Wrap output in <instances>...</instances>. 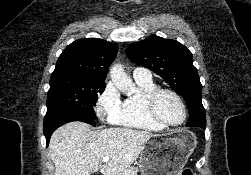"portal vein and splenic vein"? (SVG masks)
Instances as JSON below:
<instances>
[{
	"label": "portal vein and splenic vein",
	"instance_id": "obj_1",
	"mask_svg": "<svg viewBox=\"0 0 251 175\" xmlns=\"http://www.w3.org/2000/svg\"><path fill=\"white\" fill-rule=\"evenodd\" d=\"M110 157L109 155H105V157H103L102 161H109Z\"/></svg>",
	"mask_w": 251,
	"mask_h": 175
}]
</instances>
